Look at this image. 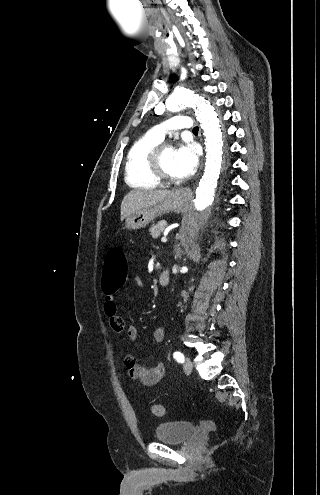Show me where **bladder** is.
<instances>
[{
  "mask_svg": "<svg viewBox=\"0 0 320 495\" xmlns=\"http://www.w3.org/2000/svg\"><path fill=\"white\" fill-rule=\"evenodd\" d=\"M196 425L190 421H172L158 424L154 438L162 443L178 444L187 440L195 431Z\"/></svg>",
  "mask_w": 320,
  "mask_h": 495,
  "instance_id": "obj_1",
  "label": "bladder"
}]
</instances>
